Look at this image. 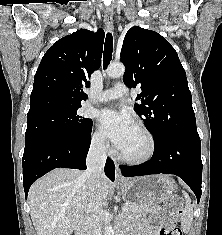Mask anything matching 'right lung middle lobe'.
Masks as SVG:
<instances>
[{
    "label": "right lung middle lobe",
    "mask_w": 222,
    "mask_h": 235,
    "mask_svg": "<svg viewBox=\"0 0 222 235\" xmlns=\"http://www.w3.org/2000/svg\"><path fill=\"white\" fill-rule=\"evenodd\" d=\"M80 107L81 105L54 107L42 113L27 116L25 149L50 140L85 139L92 130L93 122L79 114Z\"/></svg>",
    "instance_id": "dd1d6c3e"
}]
</instances>
